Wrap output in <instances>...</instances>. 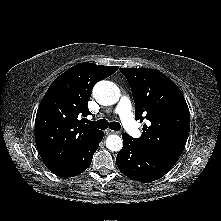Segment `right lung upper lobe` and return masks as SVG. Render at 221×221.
I'll use <instances>...</instances> for the list:
<instances>
[{"label": "right lung upper lobe", "instance_id": "right-lung-upper-lobe-1", "mask_svg": "<svg viewBox=\"0 0 221 221\" xmlns=\"http://www.w3.org/2000/svg\"><path fill=\"white\" fill-rule=\"evenodd\" d=\"M118 70L116 66L79 63L52 82L37 110L35 141L49 170L75 158L101 130L78 120L90 111L93 86Z\"/></svg>", "mask_w": 221, "mask_h": 221}]
</instances>
